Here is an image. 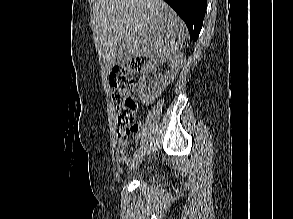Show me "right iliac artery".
I'll list each match as a JSON object with an SVG mask.
<instances>
[{
	"instance_id": "right-iliac-artery-1",
	"label": "right iliac artery",
	"mask_w": 293,
	"mask_h": 219,
	"mask_svg": "<svg viewBox=\"0 0 293 219\" xmlns=\"http://www.w3.org/2000/svg\"><path fill=\"white\" fill-rule=\"evenodd\" d=\"M142 148H143V146L142 147H140V148H138L137 150H136V152L134 153V157L139 153V152H141L142 151Z\"/></svg>"
}]
</instances>
